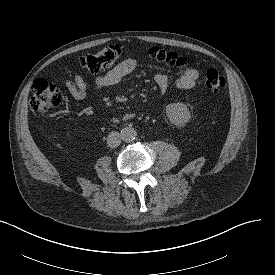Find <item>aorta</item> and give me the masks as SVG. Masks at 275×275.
<instances>
[{"mask_svg": "<svg viewBox=\"0 0 275 275\" xmlns=\"http://www.w3.org/2000/svg\"><path fill=\"white\" fill-rule=\"evenodd\" d=\"M121 139L124 142H131L136 138L137 132L132 127H125L121 130Z\"/></svg>", "mask_w": 275, "mask_h": 275, "instance_id": "obj_1", "label": "aorta"}]
</instances>
